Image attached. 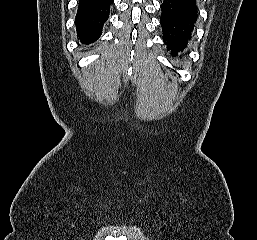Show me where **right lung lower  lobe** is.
Wrapping results in <instances>:
<instances>
[{
  "label": "right lung lower lobe",
  "mask_w": 257,
  "mask_h": 240,
  "mask_svg": "<svg viewBox=\"0 0 257 240\" xmlns=\"http://www.w3.org/2000/svg\"><path fill=\"white\" fill-rule=\"evenodd\" d=\"M113 2L114 0H79L75 25L82 43L90 44L100 37Z\"/></svg>",
  "instance_id": "98d812e1"
}]
</instances>
